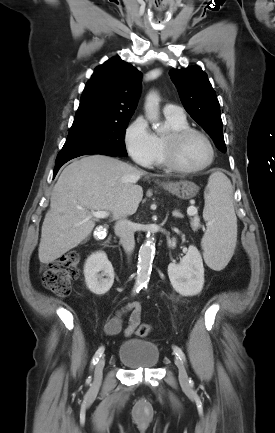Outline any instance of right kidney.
<instances>
[{
  "instance_id": "right-kidney-1",
  "label": "right kidney",
  "mask_w": 275,
  "mask_h": 433,
  "mask_svg": "<svg viewBox=\"0 0 275 433\" xmlns=\"http://www.w3.org/2000/svg\"><path fill=\"white\" fill-rule=\"evenodd\" d=\"M84 276L92 293L103 295L110 290L114 282V270L104 252H96L88 257L84 265Z\"/></svg>"
}]
</instances>
